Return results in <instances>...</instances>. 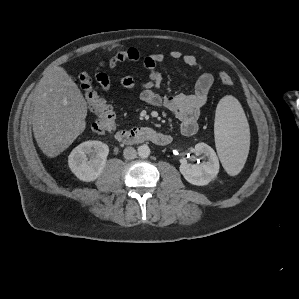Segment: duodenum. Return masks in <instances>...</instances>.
<instances>
[{"mask_svg": "<svg viewBox=\"0 0 299 299\" xmlns=\"http://www.w3.org/2000/svg\"><path fill=\"white\" fill-rule=\"evenodd\" d=\"M115 139L123 144L131 145L150 141L159 145H165L168 142L164 133L157 132L151 127H138L134 129H121L115 132Z\"/></svg>", "mask_w": 299, "mask_h": 299, "instance_id": "duodenum-1", "label": "duodenum"}]
</instances>
